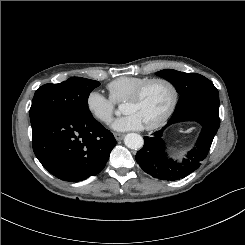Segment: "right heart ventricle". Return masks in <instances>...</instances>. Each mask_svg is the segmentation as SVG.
Listing matches in <instances>:
<instances>
[{"mask_svg": "<svg viewBox=\"0 0 245 245\" xmlns=\"http://www.w3.org/2000/svg\"><path fill=\"white\" fill-rule=\"evenodd\" d=\"M148 80L143 77L136 76H121L107 85V89L110 94V98L114 102H121L126 98L143 82Z\"/></svg>", "mask_w": 245, "mask_h": 245, "instance_id": "right-heart-ventricle-1", "label": "right heart ventricle"}]
</instances>
